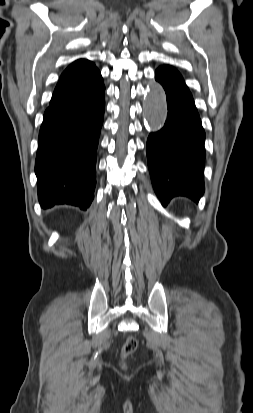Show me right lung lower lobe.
I'll list each match as a JSON object with an SVG mask.
<instances>
[{
  "label": "right lung lower lobe",
  "mask_w": 253,
  "mask_h": 413,
  "mask_svg": "<svg viewBox=\"0 0 253 413\" xmlns=\"http://www.w3.org/2000/svg\"><path fill=\"white\" fill-rule=\"evenodd\" d=\"M104 95L102 81L93 91L46 109L35 162L41 207L70 204L86 210L90 206Z\"/></svg>",
  "instance_id": "obj_1"
}]
</instances>
